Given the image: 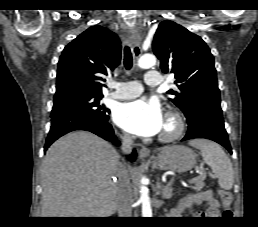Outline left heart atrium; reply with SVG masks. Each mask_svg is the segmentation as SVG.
<instances>
[{
  "label": "left heart atrium",
  "instance_id": "obj_1",
  "mask_svg": "<svg viewBox=\"0 0 258 227\" xmlns=\"http://www.w3.org/2000/svg\"><path fill=\"white\" fill-rule=\"evenodd\" d=\"M114 118L120 127L139 136L155 135L164 125L161 106L152 99H138L121 104Z\"/></svg>",
  "mask_w": 258,
  "mask_h": 227
}]
</instances>
